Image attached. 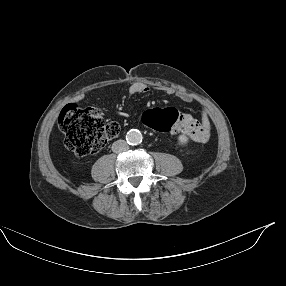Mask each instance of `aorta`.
Segmentation results:
<instances>
[{"mask_svg":"<svg viewBox=\"0 0 286 286\" xmlns=\"http://www.w3.org/2000/svg\"><path fill=\"white\" fill-rule=\"evenodd\" d=\"M127 143L130 145H137L142 142V134L137 129H131L126 135Z\"/></svg>","mask_w":286,"mask_h":286,"instance_id":"aorta-1","label":"aorta"}]
</instances>
